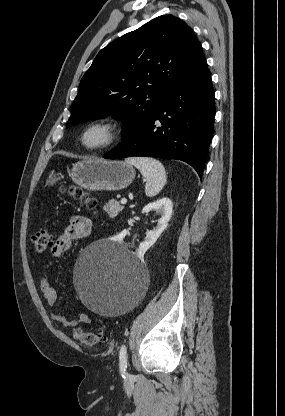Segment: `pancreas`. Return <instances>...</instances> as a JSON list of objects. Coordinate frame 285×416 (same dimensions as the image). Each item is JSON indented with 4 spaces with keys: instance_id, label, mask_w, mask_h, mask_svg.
<instances>
[{
    "instance_id": "pancreas-1",
    "label": "pancreas",
    "mask_w": 285,
    "mask_h": 416,
    "mask_svg": "<svg viewBox=\"0 0 285 416\" xmlns=\"http://www.w3.org/2000/svg\"><path fill=\"white\" fill-rule=\"evenodd\" d=\"M123 208L124 206H120L119 202H116V200H109L108 204H105L103 210L104 212H107L110 218H116L119 212H122Z\"/></svg>"
}]
</instances>
